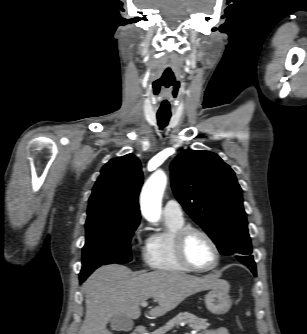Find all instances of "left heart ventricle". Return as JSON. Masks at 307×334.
Masks as SVG:
<instances>
[{"label": "left heart ventricle", "instance_id": "b2bd125f", "mask_svg": "<svg viewBox=\"0 0 307 334\" xmlns=\"http://www.w3.org/2000/svg\"><path fill=\"white\" fill-rule=\"evenodd\" d=\"M187 253L191 262L201 268L211 266L215 252L211 244L201 235L193 234L187 242Z\"/></svg>", "mask_w": 307, "mask_h": 334}]
</instances>
